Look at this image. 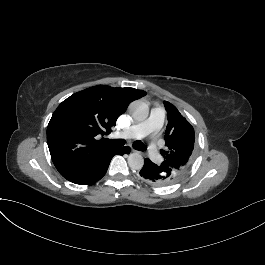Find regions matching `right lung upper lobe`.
<instances>
[{"mask_svg":"<svg viewBox=\"0 0 265 265\" xmlns=\"http://www.w3.org/2000/svg\"><path fill=\"white\" fill-rule=\"evenodd\" d=\"M143 90L98 85L64 100L47 127V142L59 173L71 182L85 179L115 147L96 140L110 132L117 118Z\"/></svg>","mask_w":265,"mask_h":265,"instance_id":"cb5924a9","label":"right lung upper lobe"}]
</instances>
